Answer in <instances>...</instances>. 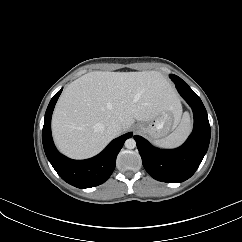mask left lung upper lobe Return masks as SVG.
Here are the masks:
<instances>
[{
    "label": "left lung upper lobe",
    "instance_id": "obj_1",
    "mask_svg": "<svg viewBox=\"0 0 242 242\" xmlns=\"http://www.w3.org/2000/svg\"><path fill=\"white\" fill-rule=\"evenodd\" d=\"M170 78L177 84V83H185L180 77L170 74Z\"/></svg>",
    "mask_w": 242,
    "mask_h": 242
}]
</instances>
